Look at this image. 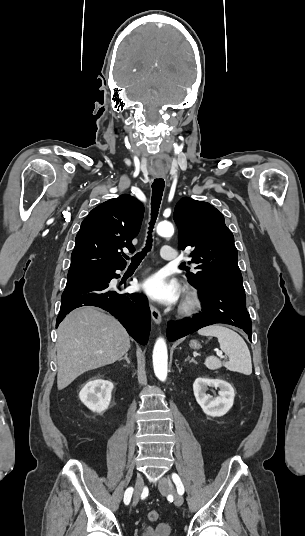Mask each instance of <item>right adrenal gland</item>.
I'll use <instances>...</instances> for the list:
<instances>
[{
	"instance_id": "obj_1",
	"label": "right adrenal gland",
	"mask_w": 305,
	"mask_h": 536,
	"mask_svg": "<svg viewBox=\"0 0 305 536\" xmlns=\"http://www.w3.org/2000/svg\"><path fill=\"white\" fill-rule=\"evenodd\" d=\"M120 360H126L127 364H130L128 354H125L124 358H120ZM119 360V362H120Z\"/></svg>"
}]
</instances>
